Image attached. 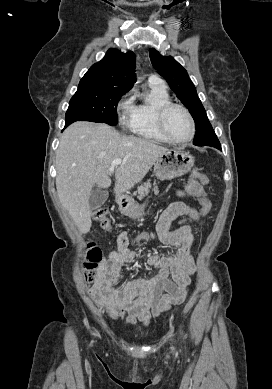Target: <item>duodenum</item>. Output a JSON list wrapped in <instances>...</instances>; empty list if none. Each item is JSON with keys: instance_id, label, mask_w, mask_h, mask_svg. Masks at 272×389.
Listing matches in <instances>:
<instances>
[{"instance_id": "1", "label": "duodenum", "mask_w": 272, "mask_h": 389, "mask_svg": "<svg viewBox=\"0 0 272 389\" xmlns=\"http://www.w3.org/2000/svg\"><path fill=\"white\" fill-rule=\"evenodd\" d=\"M116 201H117L119 204H121V203L123 202V199H122V197L117 196V197H116Z\"/></svg>"}]
</instances>
